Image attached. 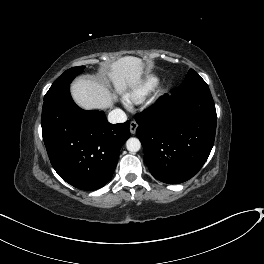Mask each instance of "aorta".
<instances>
[{
	"mask_svg": "<svg viewBox=\"0 0 264 264\" xmlns=\"http://www.w3.org/2000/svg\"><path fill=\"white\" fill-rule=\"evenodd\" d=\"M126 148L129 152H137L141 148V143L137 138H129L126 142Z\"/></svg>",
	"mask_w": 264,
	"mask_h": 264,
	"instance_id": "1",
	"label": "aorta"
}]
</instances>
